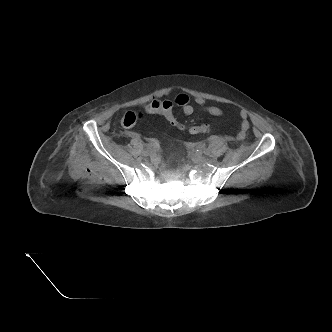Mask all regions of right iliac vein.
I'll return each instance as SVG.
<instances>
[{"mask_svg":"<svg viewBox=\"0 0 332 332\" xmlns=\"http://www.w3.org/2000/svg\"><path fill=\"white\" fill-rule=\"evenodd\" d=\"M155 154L154 150H148V151H144V155H149V156H153Z\"/></svg>","mask_w":332,"mask_h":332,"instance_id":"obj_1","label":"right iliac vein"}]
</instances>
